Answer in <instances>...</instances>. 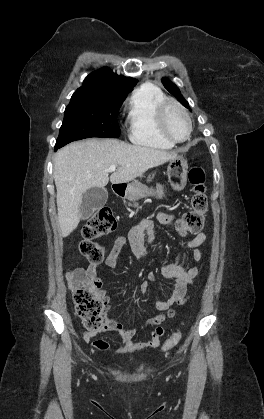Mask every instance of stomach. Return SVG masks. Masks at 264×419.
<instances>
[{
    "label": "stomach",
    "mask_w": 264,
    "mask_h": 419,
    "mask_svg": "<svg viewBox=\"0 0 264 419\" xmlns=\"http://www.w3.org/2000/svg\"><path fill=\"white\" fill-rule=\"evenodd\" d=\"M188 165L183 156H176L170 160L167 174L168 181L175 191H181L185 188L187 183ZM155 195L162 198L165 195L164 186L157 184L156 190L148 188L147 186L135 181L129 184L125 190V196L130 201L139 200L141 198Z\"/></svg>",
    "instance_id": "1"
}]
</instances>
